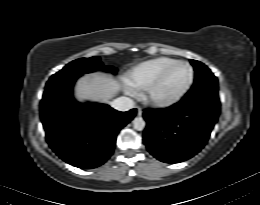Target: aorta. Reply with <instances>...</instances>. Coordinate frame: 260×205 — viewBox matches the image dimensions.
Returning a JSON list of instances; mask_svg holds the SVG:
<instances>
[{"label":"aorta","instance_id":"1","mask_svg":"<svg viewBox=\"0 0 260 205\" xmlns=\"http://www.w3.org/2000/svg\"><path fill=\"white\" fill-rule=\"evenodd\" d=\"M145 121L142 117H136L133 120V126L135 130L142 131L145 128Z\"/></svg>","mask_w":260,"mask_h":205}]
</instances>
